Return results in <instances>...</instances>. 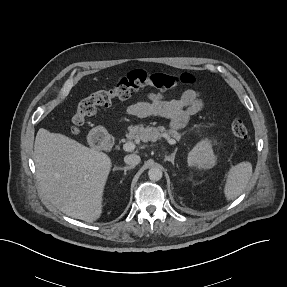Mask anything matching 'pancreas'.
Wrapping results in <instances>:
<instances>
[{"label": "pancreas", "instance_id": "pancreas-1", "mask_svg": "<svg viewBox=\"0 0 287 287\" xmlns=\"http://www.w3.org/2000/svg\"><path fill=\"white\" fill-rule=\"evenodd\" d=\"M129 133L126 137L129 140H140L142 142H154L162 137L168 136L179 141L182 134L175 129H166L164 126H144L135 125L128 128Z\"/></svg>", "mask_w": 287, "mask_h": 287}]
</instances>
